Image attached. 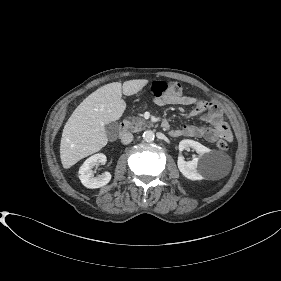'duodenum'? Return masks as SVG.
<instances>
[{"label":"duodenum","instance_id":"1","mask_svg":"<svg viewBox=\"0 0 281 281\" xmlns=\"http://www.w3.org/2000/svg\"><path fill=\"white\" fill-rule=\"evenodd\" d=\"M161 126L166 129L168 127V123L166 121H163L161 123ZM127 130V123L125 121H122L120 123V126H119V132L120 134H123L125 131Z\"/></svg>","mask_w":281,"mask_h":281}]
</instances>
